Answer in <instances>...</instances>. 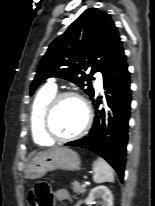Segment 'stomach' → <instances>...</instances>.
Returning <instances> with one entry per match:
<instances>
[{"mask_svg": "<svg viewBox=\"0 0 155 206\" xmlns=\"http://www.w3.org/2000/svg\"><path fill=\"white\" fill-rule=\"evenodd\" d=\"M80 164V157L75 151L64 147L53 148L38 153L32 159L26 170V177L38 179L56 169L76 171L80 169Z\"/></svg>", "mask_w": 155, "mask_h": 206, "instance_id": "stomach-1", "label": "stomach"}]
</instances>
